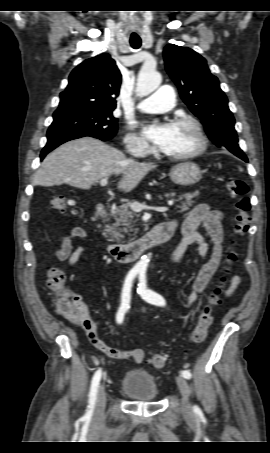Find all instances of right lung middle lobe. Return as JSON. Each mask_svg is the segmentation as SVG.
I'll return each mask as SVG.
<instances>
[{"label": "right lung middle lobe", "instance_id": "right-lung-middle-lobe-1", "mask_svg": "<svg viewBox=\"0 0 270 453\" xmlns=\"http://www.w3.org/2000/svg\"><path fill=\"white\" fill-rule=\"evenodd\" d=\"M118 119L112 111H85L54 117L47 137H83L91 136L103 141L109 140L117 133Z\"/></svg>", "mask_w": 270, "mask_h": 453}]
</instances>
